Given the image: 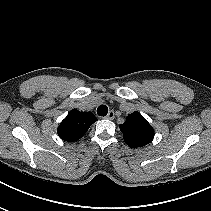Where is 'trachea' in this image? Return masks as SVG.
Masks as SVG:
<instances>
[{"label":"trachea","mask_w":211,"mask_h":211,"mask_svg":"<svg viewBox=\"0 0 211 211\" xmlns=\"http://www.w3.org/2000/svg\"><path fill=\"white\" fill-rule=\"evenodd\" d=\"M108 113V108L106 105H100L98 108H97V114L99 116H106Z\"/></svg>","instance_id":"trachea-1"}]
</instances>
